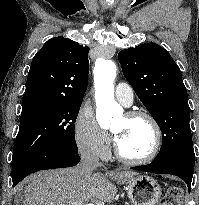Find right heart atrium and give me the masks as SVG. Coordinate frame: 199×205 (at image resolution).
I'll use <instances>...</instances> for the list:
<instances>
[{
	"label": "right heart atrium",
	"instance_id": "d8ad5b80",
	"mask_svg": "<svg viewBox=\"0 0 199 205\" xmlns=\"http://www.w3.org/2000/svg\"><path fill=\"white\" fill-rule=\"evenodd\" d=\"M74 134L77 148L84 156L97 159L108 156V134L99 126L91 109H80L75 121Z\"/></svg>",
	"mask_w": 199,
	"mask_h": 205
}]
</instances>
